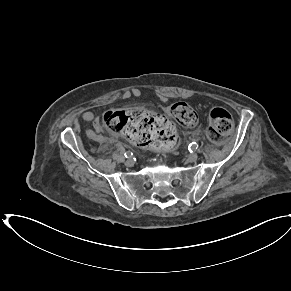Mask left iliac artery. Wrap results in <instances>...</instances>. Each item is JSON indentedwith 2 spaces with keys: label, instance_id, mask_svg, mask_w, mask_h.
<instances>
[{
  "label": "left iliac artery",
  "instance_id": "1",
  "mask_svg": "<svg viewBox=\"0 0 291 291\" xmlns=\"http://www.w3.org/2000/svg\"><path fill=\"white\" fill-rule=\"evenodd\" d=\"M198 148V144L196 143V142H192V143H190L189 144V146H188V149L189 150H195V149H197Z\"/></svg>",
  "mask_w": 291,
  "mask_h": 291
}]
</instances>
